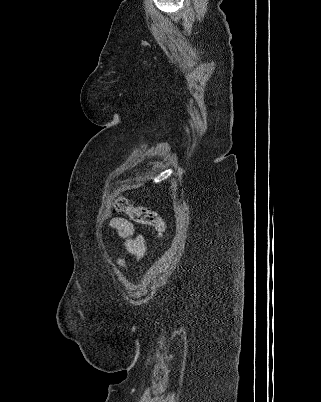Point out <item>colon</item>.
<instances>
[{
	"instance_id": "5ec220e1",
	"label": "colon",
	"mask_w": 321,
	"mask_h": 402,
	"mask_svg": "<svg viewBox=\"0 0 321 402\" xmlns=\"http://www.w3.org/2000/svg\"><path fill=\"white\" fill-rule=\"evenodd\" d=\"M113 207L116 211L126 214L134 222L154 228L160 237L166 232L165 222L157 211L135 206L123 197L116 198Z\"/></svg>"
}]
</instances>
